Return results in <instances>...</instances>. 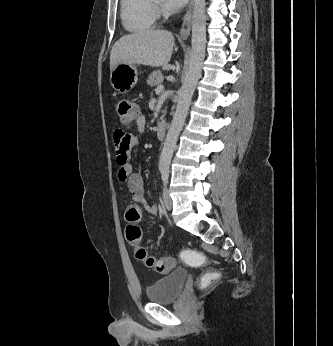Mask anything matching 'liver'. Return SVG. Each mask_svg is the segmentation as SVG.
Returning <instances> with one entry per match:
<instances>
[{
	"instance_id": "liver-1",
	"label": "liver",
	"mask_w": 333,
	"mask_h": 346,
	"mask_svg": "<svg viewBox=\"0 0 333 346\" xmlns=\"http://www.w3.org/2000/svg\"><path fill=\"white\" fill-rule=\"evenodd\" d=\"M174 47L171 32L143 30L121 37L110 54V71L121 63L151 67L168 66Z\"/></svg>"
}]
</instances>
